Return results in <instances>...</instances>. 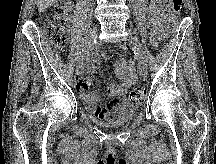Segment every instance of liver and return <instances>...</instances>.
<instances>
[{
    "mask_svg": "<svg viewBox=\"0 0 216 164\" xmlns=\"http://www.w3.org/2000/svg\"><path fill=\"white\" fill-rule=\"evenodd\" d=\"M56 2L57 0H37V7L39 13H42L44 10L53 6Z\"/></svg>",
    "mask_w": 216,
    "mask_h": 164,
    "instance_id": "1",
    "label": "liver"
}]
</instances>
